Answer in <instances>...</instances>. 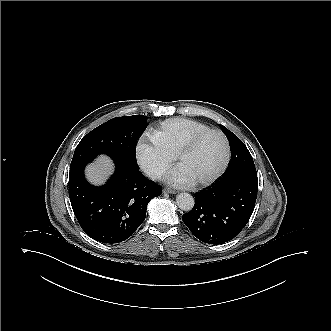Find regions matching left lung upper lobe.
<instances>
[{"instance_id":"obj_1","label":"left lung upper lobe","mask_w":331,"mask_h":331,"mask_svg":"<svg viewBox=\"0 0 331 331\" xmlns=\"http://www.w3.org/2000/svg\"><path fill=\"white\" fill-rule=\"evenodd\" d=\"M221 129L226 135L231 149V160L222 180L236 175H246L257 178L255 165L247 147L226 127L221 125Z\"/></svg>"}]
</instances>
